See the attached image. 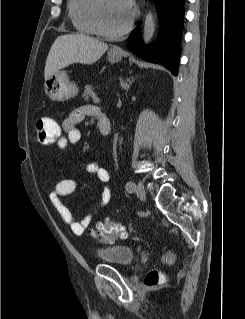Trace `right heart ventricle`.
<instances>
[{
  "label": "right heart ventricle",
  "mask_w": 245,
  "mask_h": 319,
  "mask_svg": "<svg viewBox=\"0 0 245 319\" xmlns=\"http://www.w3.org/2000/svg\"><path fill=\"white\" fill-rule=\"evenodd\" d=\"M96 0H69L68 13L74 28L82 34L98 35L94 21Z\"/></svg>",
  "instance_id": "obj_1"
}]
</instances>
